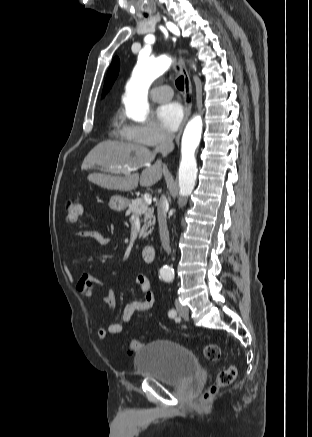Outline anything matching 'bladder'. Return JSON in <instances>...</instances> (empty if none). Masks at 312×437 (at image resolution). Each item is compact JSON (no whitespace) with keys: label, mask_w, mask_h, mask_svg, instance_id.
I'll use <instances>...</instances> for the list:
<instances>
[{"label":"bladder","mask_w":312,"mask_h":437,"mask_svg":"<svg viewBox=\"0 0 312 437\" xmlns=\"http://www.w3.org/2000/svg\"><path fill=\"white\" fill-rule=\"evenodd\" d=\"M140 376L164 384L179 385L197 375L201 366L194 353L170 340L149 342L134 357Z\"/></svg>","instance_id":"obj_1"}]
</instances>
